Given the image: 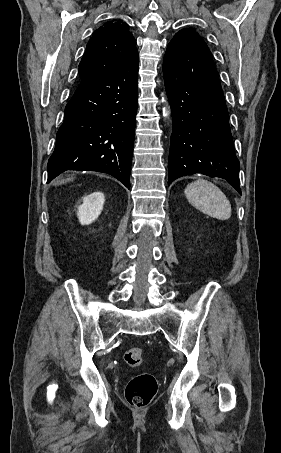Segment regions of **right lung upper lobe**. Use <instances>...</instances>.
<instances>
[{
	"mask_svg": "<svg viewBox=\"0 0 281 453\" xmlns=\"http://www.w3.org/2000/svg\"><path fill=\"white\" fill-rule=\"evenodd\" d=\"M128 28L126 23L108 21L93 33L79 64L80 81L110 75L137 54Z\"/></svg>",
	"mask_w": 281,
	"mask_h": 453,
	"instance_id": "cb5924a9",
	"label": "right lung upper lobe"
}]
</instances>
